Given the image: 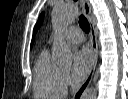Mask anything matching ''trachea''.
<instances>
[{
	"label": "trachea",
	"mask_w": 128,
	"mask_h": 99,
	"mask_svg": "<svg viewBox=\"0 0 128 99\" xmlns=\"http://www.w3.org/2000/svg\"><path fill=\"white\" fill-rule=\"evenodd\" d=\"M79 25L82 28V30L85 31L86 33H88L90 31L89 22L87 21V19L85 18L84 15H81L79 17Z\"/></svg>",
	"instance_id": "3493384b"
}]
</instances>
